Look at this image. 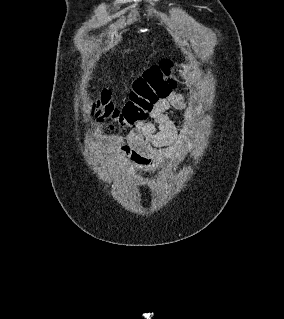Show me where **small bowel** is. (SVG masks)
Segmentation results:
<instances>
[{
    "label": "small bowel",
    "instance_id": "small-bowel-1",
    "mask_svg": "<svg viewBox=\"0 0 284 319\" xmlns=\"http://www.w3.org/2000/svg\"><path fill=\"white\" fill-rule=\"evenodd\" d=\"M183 111V120L188 130L194 126L196 106H188L183 94L171 93L160 100L151 111L152 121L138 123L126 137H104L100 131L93 133L98 142H107L121 148V158L129 173L135 177L141 171L156 172L171 158V147L179 137V130L167 112Z\"/></svg>",
    "mask_w": 284,
    "mask_h": 319
}]
</instances>
